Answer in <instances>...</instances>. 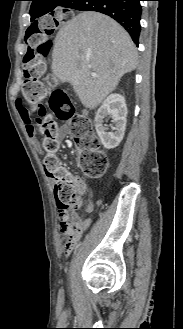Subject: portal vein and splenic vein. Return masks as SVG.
Masks as SVG:
<instances>
[{"label": "portal vein and splenic vein", "instance_id": "18ae733b", "mask_svg": "<svg viewBox=\"0 0 183 329\" xmlns=\"http://www.w3.org/2000/svg\"><path fill=\"white\" fill-rule=\"evenodd\" d=\"M92 76H95V74H94V73H92Z\"/></svg>", "mask_w": 183, "mask_h": 329}]
</instances>
